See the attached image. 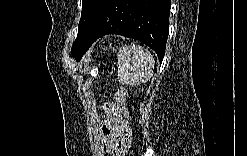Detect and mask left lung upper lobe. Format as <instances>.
<instances>
[{"label": "left lung upper lobe", "mask_w": 247, "mask_h": 156, "mask_svg": "<svg viewBox=\"0 0 247 156\" xmlns=\"http://www.w3.org/2000/svg\"><path fill=\"white\" fill-rule=\"evenodd\" d=\"M107 0H83L82 15L78 26V34L73 43L71 54L77 59L84 50L85 37L90 25L97 17Z\"/></svg>", "instance_id": "1"}]
</instances>
